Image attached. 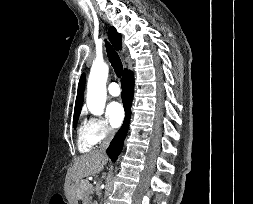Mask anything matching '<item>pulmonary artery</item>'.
<instances>
[{"label": "pulmonary artery", "mask_w": 253, "mask_h": 204, "mask_svg": "<svg viewBox=\"0 0 253 204\" xmlns=\"http://www.w3.org/2000/svg\"><path fill=\"white\" fill-rule=\"evenodd\" d=\"M108 93L114 97L119 96L121 93L120 86L116 82L110 83L108 86Z\"/></svg>", "instance_id": "1"}]
</instances>
